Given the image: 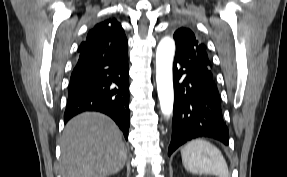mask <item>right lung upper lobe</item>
I'll list each match as a JSON object with an SVG mask.
<instances>
[{
  "label": "right lung upper lobe",
  "mask_w": 287,
  "mask_h": 177,
  "mask_svg": "<svg viewBox=\"0 0 287 177\" xmlns=\"http://www.w3.org/2000/svg\"><path fill=\"white\" fill-rule=\"evenodd\" d=\"M123 31L124 30L121 27V24L118 23L115 19H107L95 25L94 28L91 29L89 33L113 34ZM83 50H84V43L82 42L80 47L78 48V53L80 54Z\"/></svg>",
  "instance_id": "1"
}]
</instances>
